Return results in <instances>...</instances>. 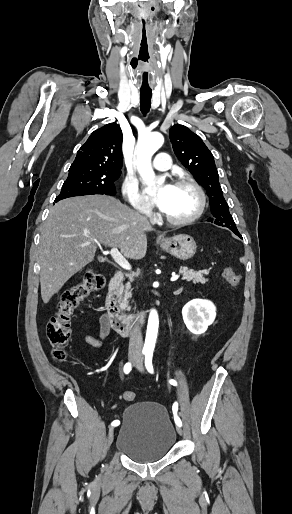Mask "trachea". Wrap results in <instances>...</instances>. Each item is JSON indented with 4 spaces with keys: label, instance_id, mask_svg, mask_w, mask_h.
<instances>
[{
    "label": "trachea",
    "instance_id": "3493384b",
    "mask_svg": "<svg viewBox=\"0 0 292 514\" xmlns=\"http://www.w3.org/2000/svg\"><path fill=\"white\" fill-rule=\"evenodd\" d=\"M152 90H140V109L144 116L148 114L151 107Z\"/></svg>",
    "mask_w": 292,
    "mask_h": 514
}]
</instances>
